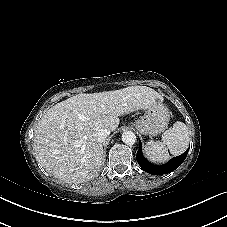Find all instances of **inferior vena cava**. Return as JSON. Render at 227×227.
<instances>
[{"label": "inferior vena cava", "instance_id": "obj_1", "mask_svg": "<svg viewBox=\"0 0 227 227\" xmlns=\"http://www.w3.org/2000/svg\"><path fill=\"white\" fill-rule=\"evenodd\" d=\"M109 134H110L109 129L101 128L95 132L94 138L96 141L102 143L106 140V138L109 136Z\"/></svg>", "mask_w": 227, "mask_h": 227}]
</instances>
